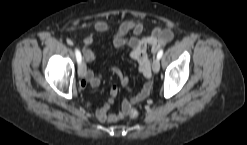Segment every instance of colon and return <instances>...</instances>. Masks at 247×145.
<instances>
[{
    "label": "colon",
    "instance_id": "1",
    "mask_svg": "<svg viewBox=\"0 0 247 145\" xmlns=\"http://www.w3.org/2000/svg\"><path fill=\"white\" fill-rule=\"evenodd\" d=\"M126 115L129 119H136L139 115V110L135 106H130L126 110Z\"/></svg>",
    "mask_w": 247,
    "mask_h": 145
}]
</instances>
